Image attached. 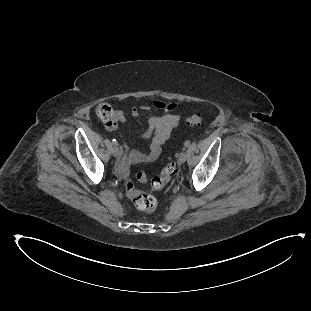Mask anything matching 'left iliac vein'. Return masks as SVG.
I'll return each instance as SVG.
<instances>
[{
	"label": "left iliac vein",
	"instance_id": "1",
	"mask_svg": "<svg viewBox=\"0 0 311 311\" xmlns=\"http://www.w3.org/2000/svg\"><path fill=\"white\" fill-rule=\"evenodd\" d=\"M186 158H187L186 152H184V151L181 152L180 155H179V158H178L179 163L180 164L185 163Z\"/></svg>",
	"mask_w": 311,
	"mask_h": 311
}]
</instances>
